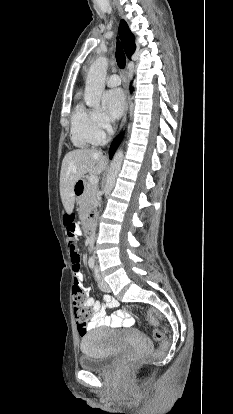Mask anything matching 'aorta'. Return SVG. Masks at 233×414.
<instances>
[{
    "instance_id": "obj_1",
    "label": "aorta",
    "mask_w": 233,
    "mask_h": 414,
    "mask_svg": "<svg viewBox=\"0 0 233 414\" xmlns=\"http://www.w3.org/2000/svg\"><path fill=\"white\" fill-rule=\"evenodd\" d=\"M108 68V59L106 57H98L90 66L86 84L84 100L86 105L96 110L101 108L100 100L105 88V78ZM123 160V151L118 150L112 161L107 174L105 188L103 190L105 196L109 195L113 190L117 175L120 171ZM93 260V258H91Z\"/></svg>"
}]
</instances>
